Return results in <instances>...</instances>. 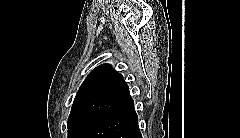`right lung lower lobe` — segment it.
Instances as JSON below:
<instances>
[{
	"label": "right lung lower lobe",
	"instance_id": "right-lung-lower-lobe-1",
	"mask_svg": "<svg viewBox=\"0 0 240 138\" xmlns=\"http://www.w3.org/2000/svg\"><path fill=\"white\" fill-rule=\"evenodd\" d=\"M86 138H142L134 102L108 115Z\"/></svg>",
	"mask_w": 240,
	"mask_h": 138
}]
</instances>
